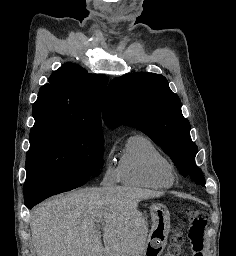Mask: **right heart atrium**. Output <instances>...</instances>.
<instances>
[{"mask_svg":"<svg viewBox=\"0 0 236 256\" xmlns=\"http://www.w3.org/2000/svg\"><path fill=\"white\" fill-rule=\"evenodd\" d=\"M120 181L118 165L115 163L112 151H108L104 159L102 184L114 185Z\"/></svg>","mask_w":236,"mask_h":256,"instance_id":"obj_1","label":"right heart atrium"}]
</instances>
